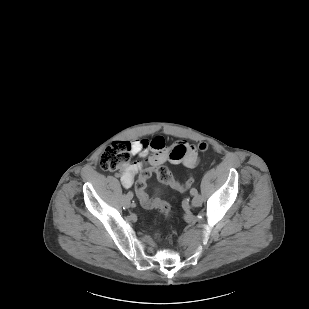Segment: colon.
<instances>
[{
	"instance_id": "5ec220e1",
	"label": "colon",
	"mask_w": 309,
	"mask_h": 309,
	"mask_svg": "<svg viewBox=\"0 0 309 309\" xmlns=\"http://www.w3.org/2000/svg\"><path fill=\"white\" fill-rule=\"evenodd\" d=\"M207 149V143L201 142L198 144L199 151L205 152ZM131 152L132 146L130 142L116 141L102 152L100 156V167L103 170L110 172L119 171L126 166L130 159ZM152 173H155L159 180L178 191H184L191 188L194 184V176L190 175L184 182H179L173 177L170 170L165 166H158L152 171L144 169L140 172L138 180L135 184V190L141 205L147 209L158 207L163 214L167 216L171 212L170 206L161 200L151 199L146 192V181ZM154 237L156 240L160 241L162 239V234L160 232H156Z\"/></svg>"
}]
</instances>
